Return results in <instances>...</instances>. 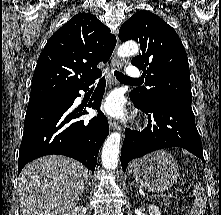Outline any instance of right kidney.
<instances>
[{"label":"right kidney","mask_w":221,"mask_h":215,"mask_svg":"<svg viewBox=\"0 0 221 215\" xmlns=\"http://www.w3.org/2000/svg\"><path fill=\"white\" fill-rule=\"evenodd\" d=\"M85 214H86V208L83 206H77L64 215H85Z\"/></svg>","instance_id":"right-kidney-1"}]
</instances>
